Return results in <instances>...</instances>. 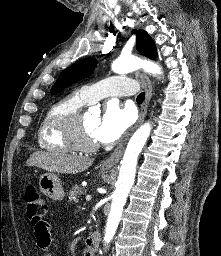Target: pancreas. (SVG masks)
<instances>
[{
  "mask_svg": "<svg viewBox=\"0 0 221 256\" xmlns=\"http://www.w3.org/2000/svg\"><path fill=\"white\" fill-rule=\"evenodd\" d=\"M83 194V191L81 190V187L78 185H75L74 187H72L71 191L69 192L68 198H69V202H75L78 203L79 202V197Z\"/></svg>",
  "mask_w": 221,
  "mask_h": 256,
  "instance_id": "cf45deb5",
  "label": "pancreas"
}]
</instances>
